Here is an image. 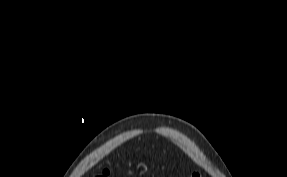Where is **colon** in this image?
<instances>
[{
    "label": "colon",
    "instance_id": "5ec220e1",
    "mask_svg": "<svg viewBox=\"0 0 287 177\" xmlns=\"http://www.w3.org/2000/svg\"><path fill=\"white\" fill-rule=\"evenodd\" d=\"M109 172L107 170L103 171L102 175H99L98 177H107ZM187 177H200V175L196 172L189 174Z\"/></svg>",
    "mask_w": 287,
    "mask_h": 177
}]
</instances>
